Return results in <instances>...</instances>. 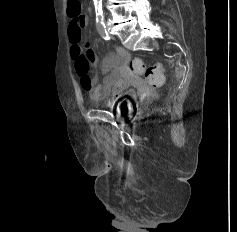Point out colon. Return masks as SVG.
I'll use <instances>...</instances> for the list:
<instances>
[{
  "instance_id": "colon-1",
  "label": "colon",
  "mask_w": 237,
  "mask_h": 232,
  "mask_svg": "<svg viewBox=\"0 0 237 232\" xmlns=\"http://www.w3.org/2000/svg\"><path fill=\"white\" fill-rule=\"evenodd\" d=\"M68 14L72 19H79L81 17L83 13L79 0L68 1ZM129 68L134 74L142 76L146 81L154 86H159L163 83V68L160 63L146 66L141 59L133 58L129 62Z\"/></svg>"
}]
</instances>
